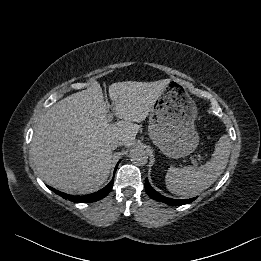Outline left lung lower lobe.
Returning a JSON list of instances; mask_svg holds the SVG:
<instances>
[{
    "label": "left lung lower lobe",
    "mask_w": 261,
    "mask_h": 261,
    "mask_svg": "<svg viewBox=\"0 0 261 261\" xmlns=\"http://www.w3.org/2000/svg\"><path fill=\"white\" fill-rule=\"evenodd\" d=\"M145 190L147 192V194L152 198L155 199L157 201L166 203L168 205H184V204H188L191 203L192 201H194L197 197L195 198H191V199H186V200H176V199H170L167 198L165 196H162L161 194H159L158 192H156L149 184L148 179L145 180Z\"/></svg>",
    "instance_id": "1"
}]
</instances>
